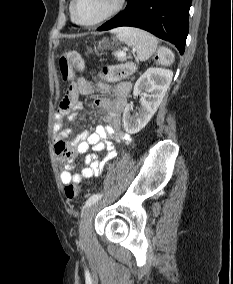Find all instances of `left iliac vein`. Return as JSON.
Listing matches in <instances>:
<instances>
[{"mask_svg": "<svg viewBox=\"0 0 233 284\" xmlns=\"http://www.w3.org/2000/svg\"><path fill=\"white\" fill-rule=\"evenodd\" d=\"M97 205L89 206L84 214L80 224V238L83 245L87 246L91 243V228L92 220L96 211Z\"/></svg>", "mask_w": 233, "mask_h": 284, "instance_id": "obj_1", "label": "left iliac vein"}]
</instances>
